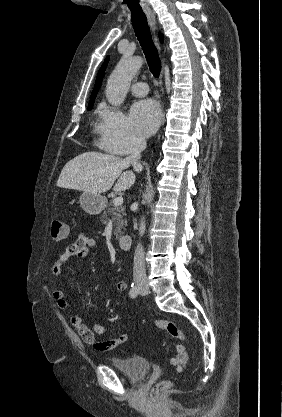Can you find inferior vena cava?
<instances>
[{"label":"inferior vena cava","mask_w":282,"mask_h":417,"mask_svg":"<svg viewBox=\"0 0 282 417\" xmlns=\"http://www.w3.org/2000/svg\"><path fill=\"white\" fill-rule=\"evenodd\" d=\"M146 144L147 142L143 136H135L132 144L131 154L130 156H127V160L132 162L137 172L142 170V164H140L138 160L141 158L140 152L146 148ZM133 281H147L144 249L142 245H137L135 249L133 261Z\"/></svg>","instance_id":"1"}]
</instances>
